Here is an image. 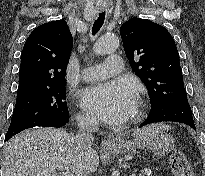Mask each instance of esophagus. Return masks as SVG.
I'll use <instances>...</instances> for the list:
<instances>
[{"label": "esophagus", "instance_id": "obj_1", "mask_svg": "<svg viewBox=\"0 0 205 176\" xmlns=\"http://www.w3.org/2000/svg\"><path fill=\"white\" fill-rule=\"evenodd\" d=\"M116 145V142L114 139L108 138V139H104L102 141V147L103 148H110V147H114Z\"/></svg>", "mask_w": 205, "mask_h": 176}]
</instances>
